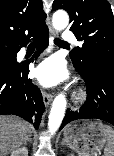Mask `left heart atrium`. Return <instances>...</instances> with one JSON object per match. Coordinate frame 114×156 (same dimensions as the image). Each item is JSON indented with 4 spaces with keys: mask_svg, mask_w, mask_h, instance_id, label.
<instances>
[{
    "mask_svg": "<svg viewBox=\"0 0 114 156\" xmlns=\"http://www.w3.org/2000/svg\"><path fill=\"white\" fill-rule=\"evenodd\" d=\"M35 78L45 87L61 82L67 75L65 65L58 57H51L40 63L34 71Z\"/></svg>",
    "mask_w": 114,
    "mask_h": 156,
    "instance_id": "1",
    "label": "left heart atrium"
}]
</instances>
